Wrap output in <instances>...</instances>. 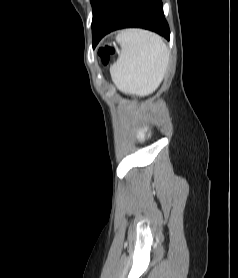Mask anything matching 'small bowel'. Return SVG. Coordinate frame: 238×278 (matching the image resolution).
I'll list each match as a JSON object with an SVG mask.
<instances>
[{
	"mask_svg": "<svg viewBox=\"0 0 238 278\" xmlns=\"http://www.w3.org/2000/svg\"><path fill=\"white\" fill-rule=\"evenodd\" d=\"M143 137H144L143 131H140V132H139V138H140V139H143Z\"/></svg>",
	"mask_w": 238,
	"mask_h": 278,
	"instance_id": "1",
	"label": "small bowel"
}]
</instances>
